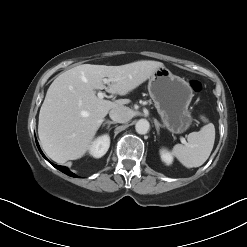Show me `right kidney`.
Segmentation results:
<instances>
[{"label":"right kidney","instance_id":"right-kidney-1","mask_svg":"<svg viewBox=\"0 0 247 247\" xmlns=\"http://www.w3.org/2000/svg\"><path fill=\"white\" fill-rule=\"evenodd\" d=\"M110 146V137L109 135H102L96 138L90 148L89 153L95 158H101L106 154Z\"/></svg>","mask_w":247,"mask_h":247}]
</instances>
